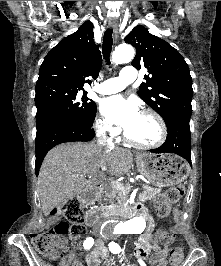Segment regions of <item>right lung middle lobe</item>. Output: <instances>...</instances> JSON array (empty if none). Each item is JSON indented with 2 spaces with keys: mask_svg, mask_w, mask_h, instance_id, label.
I'll return each instance as SVG.
<instances>
[{
  "mask_svg": "<svg viewBox=\"0 0 221 266\" xmlns=\"http://www.w3.org/2000/svg\"><path fill=\"white\" fill-rule=\"evenodd\" d=\"M81 89L67 87H49L35 89L37 133L62 121L79 122L93 125L96 116V104Z\"/></svg>",
  "mask_w": 221,
  "mask_h": 266,
  "instance_id": "right-lung-middle-lobe-1",
  "label": "right lung middle lobe"
}]
</instances>
